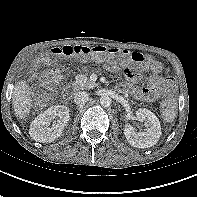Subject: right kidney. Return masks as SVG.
Masks as SVG:
<instances>
[{"label": "right kidney", "instance_id": "right-kidney-1", "mask_svg": "<svg viewBox=\"0 0 197 197\" xmlns=\"http://www.w3.org/2000/svg\"><path fill=\"white\" fill-rule=\"evenodd\" d=\"M57 118V120H54ZM70 120L69 108L56 105L39 114L30 125L29 134L37 142L51 143L60 137ZM53 121L52 127H49Z\"/></svg>", "mask_w": 197, "mask_h": 197}]
</instances>
